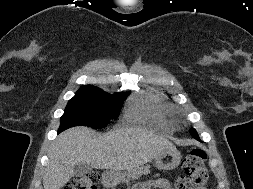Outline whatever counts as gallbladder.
<instances>
[{
	"label": "gallbladder",
	"instance_id": "1",
	"mask_svg": "<svg viewBox=\"0 0 253 189\" xmlns=\"http://www.w3.org/2000/svg\"><path fill=\"white\" fill-rule=\"evenodd\" d=\"M92 170V167L85 163H78L74 167V176L81 177Z\"/></svg>",
	"mask_w": 253,
	"mask_h": 189
}]
</instances>
